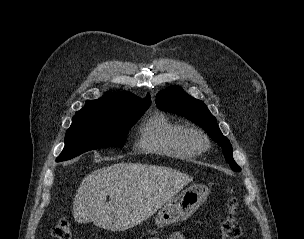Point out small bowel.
Segmentation results:
<instances>
[{
    "mask_svg": "<svg viewBox=\"0 0 304 239\" xmlns=\"http://www.w3.org/2000/svg\"><path fill=\"white\" fill-rule=\"evenodd\" d=\"M168 239H186V238L182 233L174 232L168 237Z\"/></svg>",
    "mask_w": 304,
    "mask_h": 239,
    "instance_id": "obj_1",
    "label": "small bowel"
}]
</instances>
